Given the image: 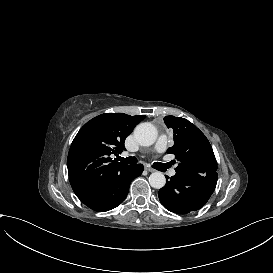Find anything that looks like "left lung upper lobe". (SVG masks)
<instances>
[{"instance_id": "1", "label": "left lung upper lobe", "mask_w": 273, "mask_h": 273, "mask_svg": "<svg viewBox=\"0 0 273 273\" xmlns=\"http://www.w3.org/2000/svg\"><path fill=\"white\" fill-rule=\"evenodd\" d=\"M167 127L174 131V145L168 154L179 161L176 172L207 175L216 173L217 162L206 136L191 122L174 116L164 117Z\"/></svg>"}]
</instances>
